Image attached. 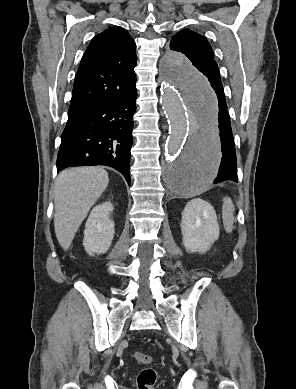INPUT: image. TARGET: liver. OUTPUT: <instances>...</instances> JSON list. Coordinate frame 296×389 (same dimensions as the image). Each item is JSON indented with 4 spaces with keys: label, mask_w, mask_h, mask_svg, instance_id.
Masks as SVG:
<instances>
[{
    "label": "liver",
    "mask_w": 296,
    "mask_h": 389,
    "mask_svg": "<svg viewBox=\"0 0 296 389\" xmlns=\"http://www.w3.org/2000/svg\"><path fill=\"white\" fill-rule=\"evenodd\" d=\"M109 183L100 167H76L62 171L54 186V229L57 240L68 250L81 223Z\"/></svg>",
    "instance_id": "1"
}]
</instances>
